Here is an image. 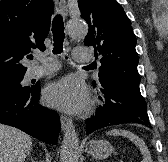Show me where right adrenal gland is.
<instances>
[{"label":"right adrenal gland","instance_id":"right-adrenal-gland-1","mask_svg":"<svg viewBox=\"0 0 168 162\" xmlns=\"http://www.w3.org/2000/svg\"><path fill=\"white\" fill-rule=\"evenodd\" d=\"M30 162H35L32 158H30Z\"/></svg>","mask_w":168,"mask_h":162}]
</instances>
